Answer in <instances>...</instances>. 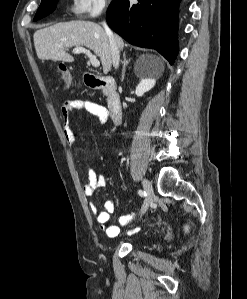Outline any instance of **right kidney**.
<instances>
[{"mask_svg": "<svg viewBox=\"0 0 247 299\" xmlns=\"http://www.w3.org/2000/svg\"><path fill=\"white\" fill-rule=\"evenodd\" d=\"M156 84V80L153 78H142L136 87L135 94L138 97L143 96L146 92L151 90Z\"/></svg>", "mask_w": 247, "mask_h": 299, "instance_id": "obj_1", "label": "right kidney"}]
</instances>
